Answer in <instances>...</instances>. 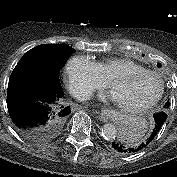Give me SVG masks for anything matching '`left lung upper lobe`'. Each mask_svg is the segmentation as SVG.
Returning <instances> with one entry per match:
<instances>
[{"label": "left lung upper lobe", "instance_id": "obj_1", "mask_svg": "<svg viewBox=\"0 0 177 177\" xmlns=\"http://www.w3.org/2000/svg\"><path fill=\"white\" fill-rule=\"evenodd\" d=\"M169 107V102L166 103V107L165 108H168Z\"/></svg>", "mask_w": 177, "mask_h": 177}]
</instances>
